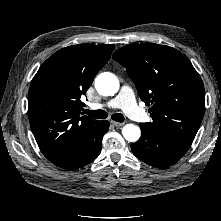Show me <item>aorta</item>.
Here are the masks:
<instances>
[{
  "mask_svg": "<svg viewBox=\"0 0 221 221\" xmlns=\"http://www.w3.org/2000/svg\"><path fill=\"white\" fill-rule=\"evenodd\" d=\"M95 88L100 95L113 96L119 90V80L114 74L104 72L96 77ZM122 134L127 141L136 142L141 136V130L136 125L126 124L122 128Z\"/></svg>",
  "mask_w": 221,
  "mask_h": 221,
  "instance_id": "obj_1",
  "label": "aorta"
}]
</instances>
